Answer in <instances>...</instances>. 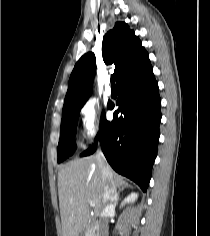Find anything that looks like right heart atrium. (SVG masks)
I'll return each instance as SVG.
<instances>
[{
    "label": "right heart atrium",
    "instance_id": "right-heart-atrium-1",
    "mask_svg": "<svg viewBox=\"0 0 210 236\" xmlns=\"http://www.w3.org/2000/svg\"><path fill=\"white\" fill-rule=\"evenodd\" d=\"M80 122L83 137L87 141H92L101 129V112L98 105L88 100L80 109Z\"/></svg>",
    "mask_w": 210,
    "mask_h": 236
}]
</instances>
